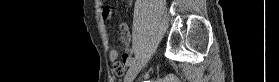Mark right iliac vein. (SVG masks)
Instances as JSON below:
<instances>
[{
	"mask_svg": "<svg viewBox=\"0 0 279 82\" xmlns=\"http://www.w3.org/2000/svg\"><path fill=\"white\" fill-rule=\"evenodd\" d=\"M142 68V64H136L134 66H132L126 76H125V80L124 82H133L134 78L137 76V74L139 73V71Z\"/></svg>",
	"mask_w": 279,
	"mask_h": 82,
	"instance_id": "1",
	"label": "right iliac vein"
}]
</instances>
